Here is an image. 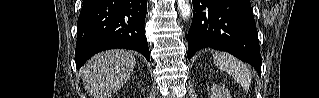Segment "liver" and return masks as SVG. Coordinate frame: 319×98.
I'll return each instance as SVG.
<instances>
[{
  "mask_svg": "<svg viewBox=\"0 0 319 98\" xmlns=\"http://www.w3.org/2000/svg\"><path fill=\"white\" fill-rule=\"evenodd\" d=\"M136 60L130 51L107 50L93 56L83 70V84L93 98H111L131 77Z\"/></svg>",
  "mask_w": 319,
  "mask_h": 98,
  "instance_id": "liver-1",
  "label": "liver"
}]
</instances>
